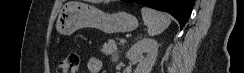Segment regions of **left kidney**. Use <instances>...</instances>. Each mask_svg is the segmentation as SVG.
I'll use <instances>...</instances> for the list:
<instances>
[{
    "instance_id": "1",
    "label": "left kidney",
    "mask_w": 244,
    "mask_h": 73,
    "mask_svg": "<svg viewBox=\"0 0 244 73\" xmlns=\"http://www.w3.org/2000/svg\"><path fill=\"white\" fill-rule=\"evenodd\" d=\"M159 45L156 40L143 38L137 41L127 52V58L137 64L134 73H150L158 55Z\"/></svg>"
}]
</instances>
